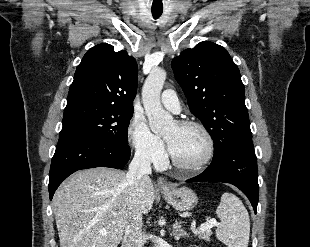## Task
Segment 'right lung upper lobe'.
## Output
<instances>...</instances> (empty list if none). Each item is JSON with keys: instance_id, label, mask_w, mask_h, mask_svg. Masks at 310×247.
Returning a JSON list of instances; mask_svg holds the SVG:
<instances>
[{"instance_id": "obj_1", "label": "right lung upper lobe", "mask_w": 310, "mask_h": 247, "mask_svg": "<svg viewBox=\"0 0 310 247\" xmlns=\"http://www.w3.org/2000/svg\"><path fill=\"white\" fill-rule=\"evenodd\" d=\"M137 63L125 50L98 44L87 51L70 86L65 110L76 107L133 110Z\"/></svg>"}]
</instances>
